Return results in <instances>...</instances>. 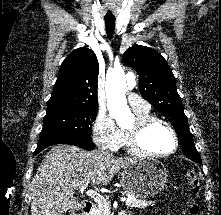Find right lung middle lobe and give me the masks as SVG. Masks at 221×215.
<instances>
[{"label": "right lung middle lobe", "mask_w": 221, "mask_h": 215, "mask_svg": "<svg viewBox=\"0 0 221 215\" xmlns=\"http://www.w3.org/2000/svg\"><path fill=\"white\" fill-rule=\"evenodd\" d=\"M97 109H67L48 113L43 119L39 142L90 136Z\"/></svg>", "instance_id": "1"}]
</instances>
